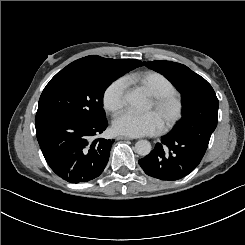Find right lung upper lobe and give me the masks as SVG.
Masks as SVG:
<instances>
[{"instance_id": "obj_1", "label": "right lung upper lobe", "mask_w": 245, "mask_h": 245, "mask_svg": "<svg viewBox=\"0 0 245 245\" xmlns=\"http://www.w3.org/2000/svg\"><path fill=\"white\" fill-rule=\"evenodd\" d=\"M91 57L103 58V57L96 56V55H92ZM103 59H108V58H103ZM108 60H117V59H108ZM121 60H129V61H132L133 63H135L137 65V67L143 65V63L141 61L135 60V59H121Z\"/></svg>"}]
</instances>
